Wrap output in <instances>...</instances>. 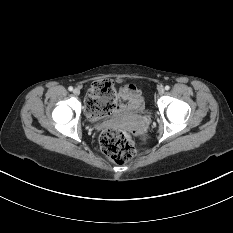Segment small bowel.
I'll return each mask as SVG.
<instances>
[{
    "label": "small bowel",
    "mask_w": 233,
    "mask_h": 233,
    "mask_svg": "<svg viewBox=\"0 0 233 233\" xmlns=\"http://www.w3.org/2000/svg\"><path fill=\"white\" fill-rule=\"evenodd\" d=\"M117 96V108L119 112H125L129 110H139L144 106V101L141 96L140 89L134 84H128L118 91H116Z\"/></svg>",
    "instance_id": "small-bowel-1"
}]
</instances>
